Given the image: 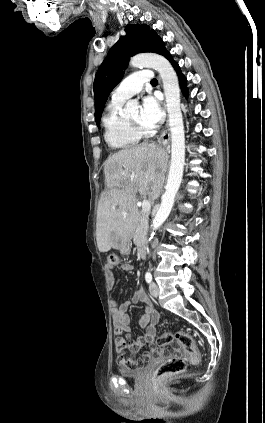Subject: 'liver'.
Returning a JSON list of instances; mask_svg holds the SVG:
<instances>
[{
    "label": "liver",
    "instance_id": "obj_1",
    "mask_svg": "<svg viewBox=\"0 0 265 423\" xmlns=\"http://www.w3.org/2000/svg\"><path fill=\"white\" fill-rule=\"evenodd\" d=\"M166 151L154 143L122 149L109 156L104 174L108 188L98 207L96 239L100 252L118 249L127 240L129 225L137 215V191L156 200L167 167Z\"/></svg>",
    "mask_w": 265,
    "mask_h": 423
}]
</instances>
